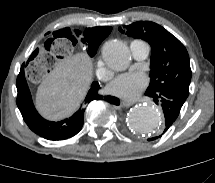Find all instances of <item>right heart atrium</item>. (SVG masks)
<instances>
[{
  "instance_id": "1",
  "label": "right heart atrium",
  "mask_w": 215,
  "mask_h": 183,
  "mask_svg": "<svg viewBox=\"0 0 215 183\" xmlns=\"http://www.w3.org/2000/svg\"><path fill=\"white\" fill-rule=\"evenodd\" d=\"M96 72H97V76L103 81L109 80L112 75L111 72L105 68L102 61L98 62Z\"/></svg>"
}]
</instances>
